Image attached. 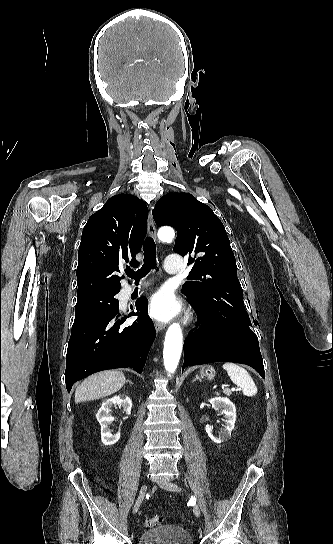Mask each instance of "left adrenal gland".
<instances>
[{
    "instance_id": "obj_1",
    "label": "left adrenal gland",
    "mask_w": 333,
    "mask_h": 544,
    "mask_svg": "<svg viewBox=\"0 0 333 544\" xmlns=\"http://www.w3.org/2000/svg\"><path fill=\"white\" fill-rule=\"evenodd\" d=\"M196 380H201V379L199 378V376H196V378L193 380V382L196 381Z\"/></svg>"
}]
</instances>
